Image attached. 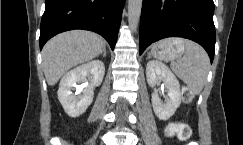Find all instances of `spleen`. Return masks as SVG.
<instances>
[{"instance_id": "3e777b00", "label": "spleen", "mask_w": 243, "mask_h": 145, "mask_svg": "<svg viewBox=\"0 0 243 145\" xmlns=\"http://www.w3.org/2000/svg\"><path fill=\"white\" fill-rule=\"evenodd\" d=\"M173 42L183 44L184 55L176 62H171V69L194 94H199L207 81L209 57L206 51L193 41L174 39Z\"/></svg>"}]
</instances>
